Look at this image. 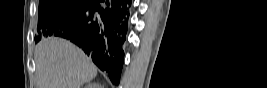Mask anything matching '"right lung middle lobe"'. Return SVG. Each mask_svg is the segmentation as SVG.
<instances>
[{
    "mask_svg": "<svg viewBox=\"0 0 267 88\" xmlns=\"http://www.w3.org/2000/svg\"><path fill=\"white\" fill-rule=\"evenodd\" d=\"M87 0H40L38 14V33L35 42L47 36V28L55 21L63 19L86 3Z\"/></svg>",
    "mask_w": 267,
    "mask_h": 88,
    "instance_id": "obj_1",
    "label": "right lung middle lobe"
}]
</instances>
